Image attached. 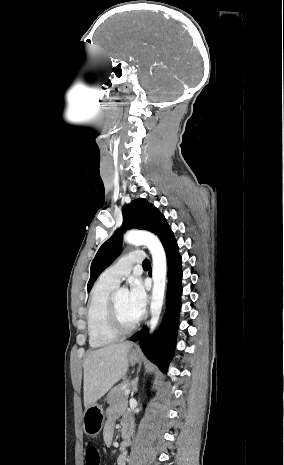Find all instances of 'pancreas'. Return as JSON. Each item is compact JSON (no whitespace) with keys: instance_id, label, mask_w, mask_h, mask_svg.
Masks as SVG:
<instances>
[{"instance_id":"cf45deb5","label":"pancreas","mask_w":284,"mask_h":465,"mask_svg":"<svg viewBox=\"0 0 284 465\" xmlns=\"http://www.w3.org/2000/svg\"><path fill=\"white\" fill-rule=\"evenodd\" d=\"M127 389H130V383H128V381H123L121 385L113 387L107 395L109 405H115V403H117V401H121V399H128V395H124Z\"/></svg>"}]
</instances>
